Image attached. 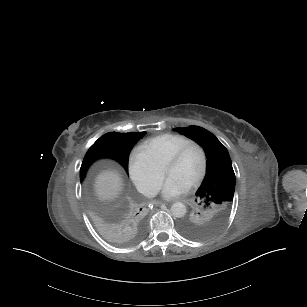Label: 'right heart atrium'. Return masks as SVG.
<instances>
[{"label": "right heart atrium", "instance_id": "d8ad5b80", "mask_svg": "<svg viewBox=\"0 0 307 307\" xmlns=\"http://www.w3.org/2000/svg\"><path fill=\"white\" fill-rule=\"evenodd\" d=\"M128 171L133 184L142 192H150L162 176L161 164L148 143H137L128 152Z\"/></svg>", "mask_w": 307, "mask_h": 307}]
</instances>
